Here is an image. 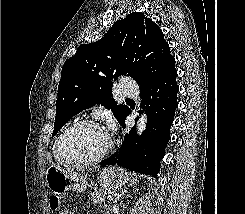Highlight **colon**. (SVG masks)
<instances>
[{
    "label": "colon",
    "instance_id": "colon-1",
    "mask_svg": "<svg viewBox=\"0 0 245 214\" xmlns=\"http://www.w3.org/2000/svg\"><path fill=\"white\" fill-rule=\"evenodd\" d=\"M50 205H51V208H52L53 210H56L57 214H71V212H69V211L58 209V207H59V202H58V200H56V199H52V200L50 201Z\"/></svg>",
    "mask_w": 245,
    "mask_h": 214
}]
</instances>
